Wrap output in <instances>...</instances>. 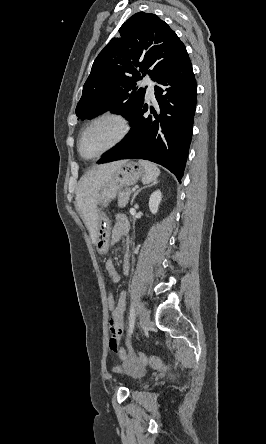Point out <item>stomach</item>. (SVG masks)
I'll use <instances>...</instances> for the list:
<instances>
[{"mask_svg": "<svg viewBox=\"0 0 266 444\" xmlns=\"http://www.w3.org/2000/svg\"><path fill=\"white\" fill-rule=\"evenodd\" d=\"M144 175L145 171L139 163L125 161L101 187L97 197V205L100 206L97 209V245L101 240L107 238L110 230V221L102 209L116 197L122 188L135 184ZM103 248V246L100 247L101 250Z\"/></svg>", "mask_w": 266, "mask_h": 444, "instance_id": "1", "label": "stomach"}]
</instances>
